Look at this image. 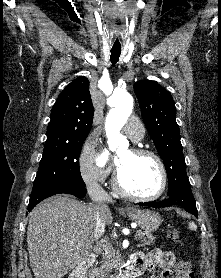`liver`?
<instances>
[{
  "instance_id": "6515ba94",
  "label": "liver",
  "mask_w": 221,
  "mask_h": 278,
  "mask_svg": "<svg viewBox=\"0 0 221 278\" xmlns=\"http://www.w3.org/2000/svg\"><path fill=\"white\" fill-rule=\"evenodd\" d=\"M98 204H84L68 195L42 201L29 214L27 246L35 278H62L89 257L96 241ZM104 223L113 217L99 210Z\"/></svg>"
}]
</instances>
